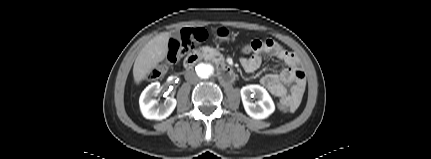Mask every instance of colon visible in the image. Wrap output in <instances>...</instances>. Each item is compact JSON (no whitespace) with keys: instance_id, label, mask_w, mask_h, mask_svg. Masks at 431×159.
Listing matches in <instances>:
<instances>
[{"instance_id":"5ec220e1","label":"colon","mask_w":431,"mask_h":159,"mask_svg":"<svg viewBox=\"0 0 431 159\" xmlns=\"http://www.w3.org/2000/svg\"><path fill=\"white\" fill-rule=\"evenodd\" d=\"M206 38V32L203 29L186 30L182 33L180 38H173L169 41L168 55L166 63L152 71H150L146 78L149 81H153L160 77L167 64L175 63L180 57L186 54L191 45L201 42ZM253 50L250 43H245L244 46L240 47V51L243 54H249ZM276 109L285 114L287 112V106L282 104V101L276 104Z\"/></svg>"}]
</instances>
